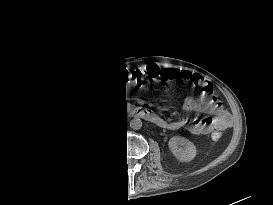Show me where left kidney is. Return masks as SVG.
<instances>
[{
	"instance_id": "5707ae66",
	"label": "left kidney",
	"mask_w": 273,
	"mask_h": 205,
	"mask_svg": "<svg viewBox=\"0 0 273 205\" xmlns=\"http://www.w3.org/2000/svg\"><path fill=\"white\" fill-rule=\"evenodd\" d=\"M169 149L180 162H190L196 156V147L185 137L174 136L168 142Z\"/></svg>"
}]
</instances>
